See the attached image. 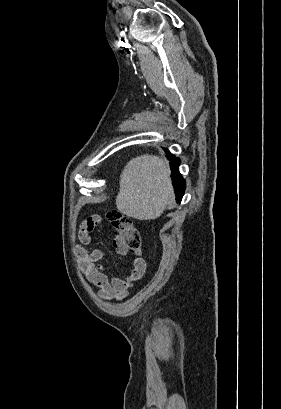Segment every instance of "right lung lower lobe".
I'll return each instance as SVG.
<instances>
[{
  "mask_svg": "<svg viewBox=\"0 0 281 409\" xmlns=\"http://www.w3.org/2000/svg\"><path fill=\"white\" fill-rule=\"evenodd\" d=\"M169 158H170V165H171V170H172V176L174 179V188H175V194H176V200L177 202H180L183 196V192L185 189V181L182 178L181 174L178 171V165L180 163L179 159L176 158L175 156H172L170 153H168Z\"/></svg>",
  "mask_w": 281,
  "mask_h": 409,
  "instance_id": "98d812e1",
  "label": "right lung lower lobe"
}]
</instances>
